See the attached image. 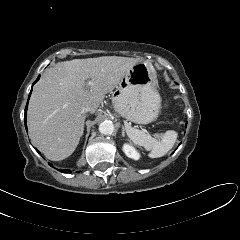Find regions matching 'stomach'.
<instances>
[{"label":"stomach","instance_id":"1","mask_svg":"<svg viewBox=\"0 0 240 240\" xmlns=\"http://www.w3.org/2000/svg\"><path fill=\"white\" fill-rule=\"evenodd\" d=\"M156 72L146 62H138L122 77L112 92L114 109L122 117L138 124H148L159 114L161 97Z\"/></svg>","mask_w":240,"mask_h":240}]
</instances>
